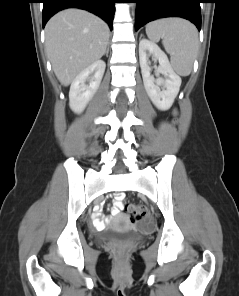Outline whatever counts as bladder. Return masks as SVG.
<instances>
[{"mask_svg": "<svg viewBox=\"0 0 239 296\" xmlns=\"http://www.w3.org/2000/svg\"><path fill=\"white\" fill-rule=\"evenodd\" d=\"M119 233L117 231H111L108 236L105 238L106 241L112 240L114 237H116Z\"/></svg>", "mask_w": 239, "mask_h": 296, "instance_id": "31cf9c89", "label": "bladder"}]
</instances>
